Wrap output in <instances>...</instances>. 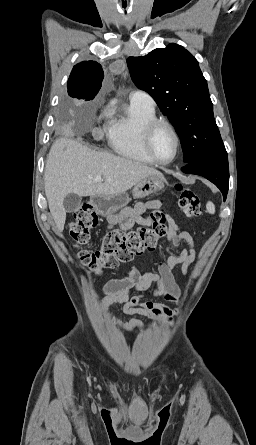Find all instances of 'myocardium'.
<instances>
[{
    "label": "myocardium",
    "instance_id": "f54148a6",
    "mask_svg": "<svg viewBox=\"0 0 256 445\" xmlns=\"http://www.w3.org/2000/svg\"><path fill=\"white\" fill-rule=\"evenodd\" d=\"M160 126H164V127L168 128L170 130V132L173 134L175 142H176L175 154L170 160H167V161L159 159L156 156L154 149H153V143H152L153 135H154L156 129ZM142 141H143L144 149H145L146 153L148 154V156L151 158V160L154 163H157L159 165L172 164L173 162H175L177 160V158L180 155V151H181L180 136H179L176 128L174 127V125L165 119L156 118V119L148 122L143 127V130H142Z\"/></svg>",
    "mask_w": 256,
    "mask_h": 445
}]
</instances>
